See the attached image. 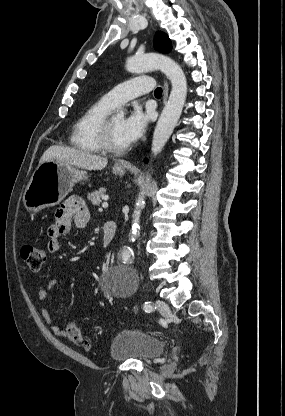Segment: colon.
I'll use <instances>...</instances> for the list:
<instances>
[{"instance_id": "colon-1", "label": "colon", "mask_w": 285, "mask_h": 416, "mask_svg": "<svg viewBox=\"0 0 285 416\" xmlns=\"http://www.w3.org/2000/svg\"><path fill=\"white\" fill-rule=\"evenodd\" d=\"M20 255L29 270L34 273L39 272L46 261V254L44 250L31 244L22 246ZM66 338L69 342L80 348H90V342L75 323H69L67 325Z\"/></svg>"}]
</instances>
